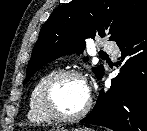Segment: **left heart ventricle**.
Here are the masks:
<instances>
[{"mask_svg":"<svg viewBox=\"0 0 147 131\" xmlns=\"http://www.w3.org/2000/svg\"><path fill=\"white\" fill-rule=\"evenodd\" d=\"M53 97L58 110L68 115L81 111L89 99L85 82L75 77L61 81L56 86Z\"/></svg>","mask_w":147,"mask_h":131,"instance_id":"1","label":"left heart ventricle"}]
</instances>
